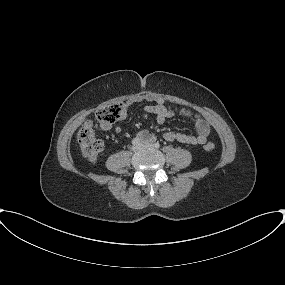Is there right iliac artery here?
Segmentation results:
<instances>
[{
	"label": "right iliac artery",
	"instance_id": "1",
	"mask_svg": "<svg viewBox=\"0 0 285 285\" xmlns=\"http://www.w3.org/2000/svg\"><path fill=\"white\" fill-rule=\"evenodd\" d=\"M140 141H141V140L136 137V138H134V139L132 140V144H133V145L139 144Z\"/></svg>",
	"mask_w": 285,
	"mask_h": 285
}]
</instances>
